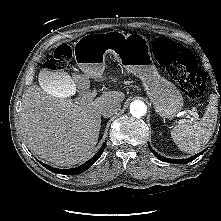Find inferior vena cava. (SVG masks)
Listing matches in <instances>:
<instances>
[{
	"mask_svg": "<svg viewBox=\"0 0 221 221\" xmlns=\"http://www.w3.org/2000/svg\"><path fill=\"white\" fill-rule=\"evenodd\" d=\"M120 108V103L107 104L101 109V114L103 115V117H111L113 114L117 113Z\"/></svg>",
	"mask_w": 221,
	"mask_h": 221,
	"instance_id": "inferior-vena-cava-1",
	"label": "inferior vena cava"
}]
</instances>
